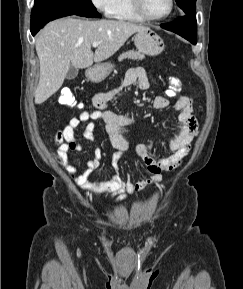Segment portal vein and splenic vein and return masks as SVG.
Returning <instances> with one entry per match:
<instances>
[{
	"mask_svg": "<svg viewBox=\"0 0 243 289\" xmlns=\"http://www.w3.org/2000/svg\"><path fill=\"white\" fill-rule=\"evenodd\" d=\"M99 44H100V42H98V41H95V42H93V43H92V46H93V47H98V46H99Z\"/></svg>",
	"mask_w": 243,
	"mask_h": 289,
	"instance_id": "obj_1",
	"label": "portal vein and splenic vein"
}]
</instances>
